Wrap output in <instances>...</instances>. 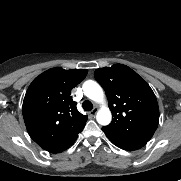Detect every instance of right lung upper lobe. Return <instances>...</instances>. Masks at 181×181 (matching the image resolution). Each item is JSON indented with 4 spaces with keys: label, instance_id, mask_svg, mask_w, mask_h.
I'll list each match as a JSON object with an SVG mask.
<instances>
[{
    "label": "right lung upper lobe",
    "instance_id": "obj_1",
    "mask_svg": "<svg viewBox=\"0 0 181 181\" xmlns=\"http://www.w3.org/2000/svg\"><path fill=\"white\" fill-rule=\"evenodd\" d=\"M87 69L51 68L37 76L23 100V118L30 137L44 150L68 149L88 117L77 110L71 90L84 80Z\"/></svg>",
    "mask_w": 181,
    "mask_h": 181
}]
</instances>
